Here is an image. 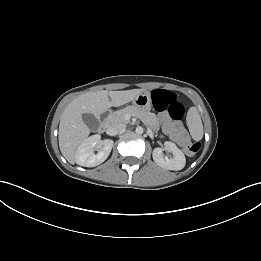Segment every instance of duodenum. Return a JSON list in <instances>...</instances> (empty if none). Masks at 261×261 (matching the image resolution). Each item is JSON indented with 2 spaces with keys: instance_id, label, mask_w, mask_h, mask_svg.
Returning a JSON list of instances; mask_svg holds the SVG:
<instances>
[{
  "instance_id": "1",
  "label": "duodenum",
  "mask_w": 261,
  "mask_h": 261,
  "mask_svg": "<svg viewBox=\"0 0 261 261\" xmlns=\"http://www.w3.org/2000/svg\"><path fill=\"white\" fill-rule=\"evenodd\" d=\"M106 123L104 121H102L99 125V131L103 132L106 129Z\"/></svg>"
}]
</instances>
